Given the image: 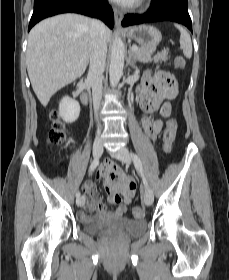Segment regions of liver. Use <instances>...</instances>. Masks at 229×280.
<instances>
[{
	"label": "liver",
	"instance_id": "6515ba94",
	"mask_svg": "<svg viewBox=\"0 0 229 280\" xmlns=\"http://www.w3.org/2000/svg\"><path fill=\"white\" fill-rule=\"evenodd\" d=\"M91 19L62 14L45 19L28 36L26 66L32 88L46 107L62 87L81 77L91 52ZM106 42L111 31L106 27Z\"/></svg>",
	"mask_w": 229,
	"mask_h": 280
}]
</instances>
